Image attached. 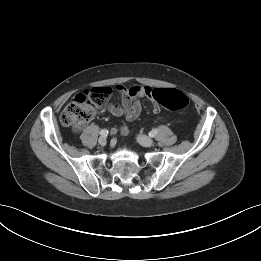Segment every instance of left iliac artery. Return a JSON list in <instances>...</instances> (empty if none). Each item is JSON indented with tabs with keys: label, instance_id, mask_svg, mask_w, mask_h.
I'll list each match as a JSON object with an SVG mask.
<instances>
[{
	"label": "left iliac artery",
	"instance_id": "1",
	"mask_svg": "<svg viewBox=\"0 0 261 261\" xmlns=\"http://www.w3.org/2000/svg\"><path fill=\"white\" fill-rule=\"evenodd\" d=\"M157 133H158V129H153L152 131H150L149 136L154 137L155 135H157Z\"/></svg>",
	"mask_w": 261,
	"mask_h": 261
}]
</instances>
